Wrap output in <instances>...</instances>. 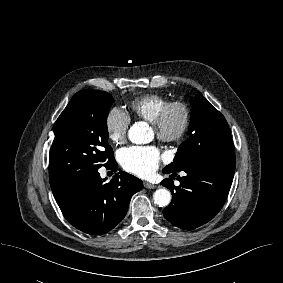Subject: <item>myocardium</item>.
<instances>
[{"label":"myocardium","instance_id":"myocardium-1","mask_svg":"<svg viewBox=\"0 0 283 283\" xmlns=\"http://www.w3.org/2000/svg\"><path fill=\"white\" fill-rule=\"evenodd\" d=\"M174 113L180 116L176 128H171L170 120ZM192 122V111L189 104L183 100L169 101L159 112L152 123L156 136L163 142H178L187 134Z\"/></svg>","mask_w":283,"mask_h":283}]
</instances>
